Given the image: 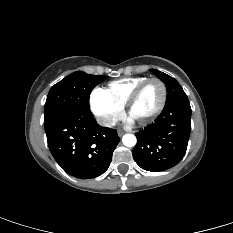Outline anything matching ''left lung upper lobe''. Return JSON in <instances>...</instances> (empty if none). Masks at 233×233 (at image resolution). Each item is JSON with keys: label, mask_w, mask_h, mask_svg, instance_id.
<instances>
[{"label": "left lung upper lobe", "mask_w": 233, "mask_h": 233, "mask_svg": "<svg viewBox=\"0 0 233 233\" xmlns=\"http://www.w3.org/2000/svg\"><path fill=\"white\" fill-rule=\"evenodd\" d=\"M151 71L156 74V76L165 83L167 88V97H166V103L172 101L173 99L177 98L180 95L185 94L180 84L177 82L176 79L173 77L160 72L156 69H151Z\"/></svg>", "instance_id": "obj_1"}]
</instances>
